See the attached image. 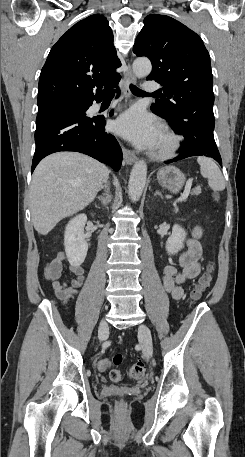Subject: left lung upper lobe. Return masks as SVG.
Masks as SVG:
<instances>
[{"instance_id": "left-lung-upper-lobe-1", "label": "left lung upper lobe", "mask_w": 245, "mask_h": 457, "mask_svg": "<svg viewBox=\"0 0 245 457\" xmlns=\"http://www.w3.org/2000/svg\"><path fill=\"white\" fill-rule=\"evenodd\" d=\"M133 52L151 60L146 78L163 86L164 94L152 106L167 121L178 115L213 111L214 93L210 56L201 38L179 21L148 15Z\"/></svg>"}]
</instances>
